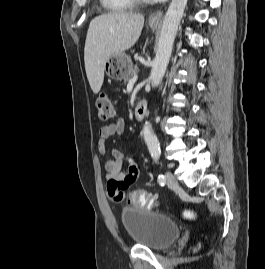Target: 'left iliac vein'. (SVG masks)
<instances>
[{
	"instance_id": "left-iliac-vein-1",
	"label": "left iliac vein",
	"mask_w": 265,
	"mask_h": 269,
	"mask_svg": "<svg viewBox=\"0 0 265 269\" xmlns=\"http://www.w3.org/2000/svg\"><path fill=\"white\" fill-rule=\"evenodd\" d=\"M165 177H166V184L169 188H176L178 187V181L175 178V176L171 173V172H166L165 173Z\"/></svg>"
}]
</instances>
